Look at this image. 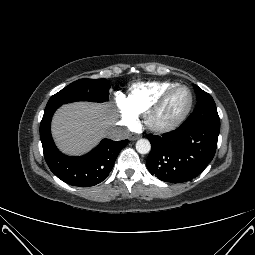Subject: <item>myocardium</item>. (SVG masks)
<instances>
[{"label":"myocardium","mask_w":255,"mask_h":255,"mask_svg":"<svg viewBox=\"0 0 255 255\" xmlns=\"http://www.w3.org/2000/svg\"><path fill=\"white\" fill-rule=\"evenodd\" d=\"M184 89L189 94V101L184 111L176 118L168 122H159L156 120L157 114L164 107L168 99L178 90ZM193 106V94L191 90L185 85H176L167 91H165L157 101L146 111L144 117V123L148 129L153 132H168L178 127L188 116Z\"/></svg>","instance_id":"myocardium-1"}]
</instances>
